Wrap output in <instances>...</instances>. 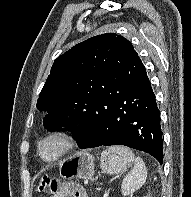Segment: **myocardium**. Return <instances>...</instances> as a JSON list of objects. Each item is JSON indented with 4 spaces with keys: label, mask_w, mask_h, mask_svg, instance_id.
Here are the masks:
<instances>
[{
    "label": "myocardium",
    "mask_w": 191,
    "mask_h": 197,
    "mask_svg": "<svg viewBox=\"0 0 191 197\" xmlns=\"http://www.w3.org/2000/svg\"><path fill=\"white\" fill-rule=\"evenodd\" d=\"M57 141L59 150L53 156L47 157L43 153V146L49 141ZM78 145L76 133L68 128H54L44 133L37 141V155L45 163H54L70 154Z\"/></svg>",
    "instance_id": "myocardium-1"
}]
</instances>
